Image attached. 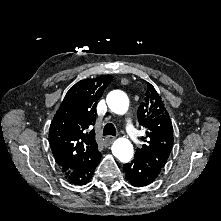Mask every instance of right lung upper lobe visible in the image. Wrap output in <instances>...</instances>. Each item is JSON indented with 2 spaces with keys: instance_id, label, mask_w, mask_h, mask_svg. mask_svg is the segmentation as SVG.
I'll list each match as a JSON object with an SVG mask.
<instances>
[{
  "instance_id": "obj_1",
  "label": "right lung upper lobe",
  "mask_w": 221,
  "mask_h": 221,
  "mask_svg": "<svg viewBox=\"0 0 221 221\" xmlns=\"http://www.w3.org/2000/svg\"><path fill=\"white\" fill-rule=\"evenodd\" d=\"M112 77L77 82L67 92L50 125L49 140L52 153L66 174L84 162L96 149L94 129L97 102Z\"/></svg>"
}]
</instances>
